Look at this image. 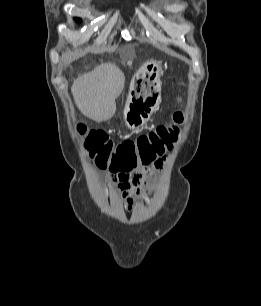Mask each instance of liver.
Instances as JSON below:
<instances>
[{"mask_svg":"<svg viewBox=\"0 0 261 306\" xmlns=\"http://www.w3.org/2000/svg\"><path fill=\"white\" fill-rule=\"evenodd\" d=\"M123 88V73L115 65L105 63L74 80L71 92L84 116L102 122L115 114V100Z\"/></svg>","mask_w":261,"mask_h":306,"instance_id":"obj_1","label":"liver"}]
</instances>
